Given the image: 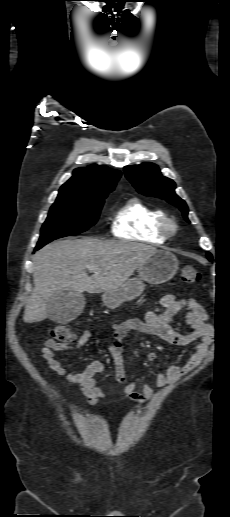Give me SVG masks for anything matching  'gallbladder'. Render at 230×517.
<instances>
[{
  "label": "gallbladder",
  "instance_id": "gallbladder-1",
  "mask_svg": "<svg viewBox=\"0 0 230 517\" xmlns=\"http://www.w3.org/2000/svg\"><path fill=\"white\" fill-rule=\"evenodd\" d=\"M83 294L71 289L55 292L47 302L50 320L65 323L78 317L84 309Z\"/></svg>",
  "mask_w": 230,
  "mask_h": 517
}]
</instances>
